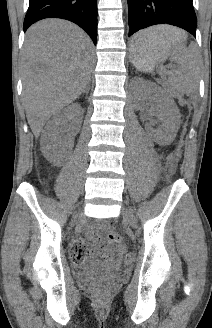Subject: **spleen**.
Segmentation results:
<instances>
[{"mask_svg": "<svg viewBox=\"0 0 212 328\" xmlns=\"http://www.w3.org/2000/svg\"><path fill=\"white\" fill-rule=\"evenodd\" d=\"M133 40L140 44L135 50L163 49L170 47L168 55L176 65L167 71L171 91L192 94L198 87L199 72L196 63V47H186L185 34L169 26H156L137 33Z\"/></svg>", "mask_w": 212, "mask_h": 328, "instance_id": "1", "label": "spleen"}]
</instances>
